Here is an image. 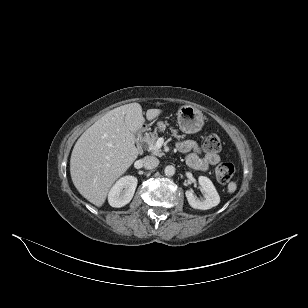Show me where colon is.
Returning <instances> with one entry per match:
<instances>
[{"label":"colon","instance_id":"obj_1","mask_svg":"<svg viewBox=\"0 0 308 308\" xmlns=\"http://www.w3.org/2000/svg\"><path fill=\"white\" fill-rule=\"evenodd\" d=\"M204 149L210 153L218 152L221 149L220 137L215 133L208 135L204 140ZM215 172L220 182L227 183L233 177L235 168L232 163L223 162L217 166Z\"/></svg>","mask_w":308,"mask_h":308}]
</instances>
